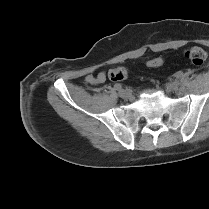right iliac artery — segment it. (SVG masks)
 Returning <instances> with one entry per match:
<instances>
[{"mask_svg": "<svg viewBox=\"0 0 209 209\" xmlns=\"http://www.w3.org/2000/svg\"><path fill=\"white\" fill-rule=\"evenodd\" d=\"M114 89L119 91L122 89V86L120 84H115Z\"/></svg>", "mask_w": 209, "mask_h": 209, "instance_id": "82829eb1", "label": "right iliac artery"}]
</instances>
